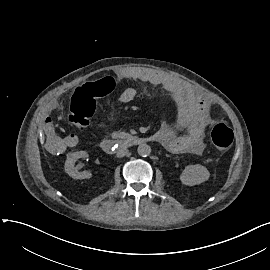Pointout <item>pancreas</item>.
<instances>
[{
    "label": "pancreas",
    "mask_w": 270,
    "mask_h": 270,
    "mask_svg": "<svg viewBox=\"0 0 270 270\" xmlns=\"http://www.w3.org/2000/svg\"><path fill=\"white\" fill-rule=\"evenodd\" d=\"M126 137V133L125 132H113L112 133V138L113 139H117V138H125Z\"/></svg>",
    "instance_id": "pancreas-1"
}]
</instances>
